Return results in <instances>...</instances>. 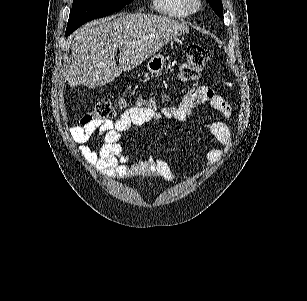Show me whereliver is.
<instances>
[{
    "instance_id": "obj_1",
    "label": "liver",
    "mask_w": 307,
    "mask_h": 301,
    "mask_svg": "<svg viewBox=\"0 0 307 301\" xmlns=\"http://www.w3.org/2000/svg\"><path fill=\"white\" fill-rule=\"evenodd\" d=\"M189 30L186 20L144 12L87 22L69 36L72 56L68 84L103 86L120 76L122 70H132L144 62L174 36ZM118 50L119 66L115 60Z\"/></svg>"
}]
</instances>
